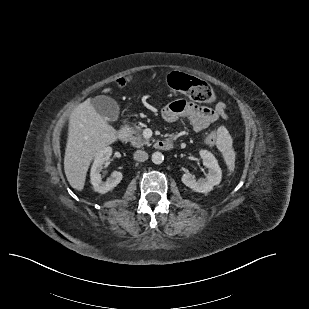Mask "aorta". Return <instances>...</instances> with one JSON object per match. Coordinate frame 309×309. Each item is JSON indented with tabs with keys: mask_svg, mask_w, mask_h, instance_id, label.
<instances>
[{
	"mask_svg": "<svg viewBox=\"0 0 309 309\" xmlns=\"http://www.w3.org/2000/svg\"><path fill=\"white\" fill-rule=\"evenodd\" d=\"M163 160H164V156H163V154L161 153V152H154L153 154H152V162L154 163V164H161L162 162H163Z\"/></svg>",
	"mask_w": 309,
	"mask_h": 309,
	"instance_id": "obj_1",
	"label": "aorta"
}]
</instances>
